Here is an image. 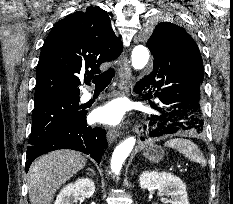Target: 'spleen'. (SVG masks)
Wrapping results in <instances>:
<instances>
[{
	"label": "spleen",
	"instance_id": "1",
	"mask_svg": "<svg viewBox=\"0 0 233 204\" xmlns=\"http://www.w3.org/2000/svg\"><path fill=\"white\" fill-rule=\"evenodd\" d=\"M165 146L179 151L186 158L193 162L199 163L203 167L206 166V160L203 157L200 149L188 139H170L165 143Z\"/></svg>",
	"mask_w": 233,
	"mask_h": 204
}]
</instances>
